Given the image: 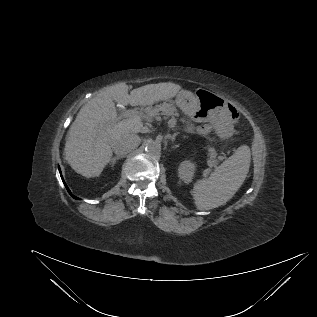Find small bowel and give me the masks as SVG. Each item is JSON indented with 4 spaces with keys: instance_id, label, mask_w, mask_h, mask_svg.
Masks as SVG:
<instances>
[{
    "instance_id": "c3829d8e",
    "label": "small bowel",
    "mask_w": 317,
    "mask_h": 317,
    "mask_svg": "<svg viewBox=\"0 0 317 317\" xmlns=\"http://www.w3.org/2000/svg\"><path fill=\"white\" fill-rule=\"evenodd\" d=\"M211 127H212V125L209 124V125L203 127L202 130L205 131V132H207V131H209V130L211 129Z\"/></svg>"
}]
</instances>
